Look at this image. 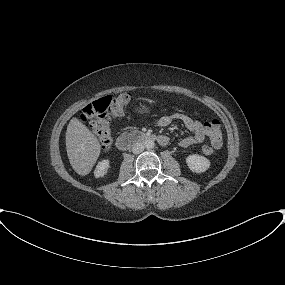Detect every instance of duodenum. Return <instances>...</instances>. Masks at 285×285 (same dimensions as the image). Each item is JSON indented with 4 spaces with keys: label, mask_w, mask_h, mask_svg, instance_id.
<instances>
[{
    "label": "duodenum",
    "mask_w": 285,
    "mask_h": 285,
    "mask_svg": "<svg viewBox=\"0 0 285 285\" xmlns=\"http://www.w3.org/2000/svg\"><path fill=\"white\" fill-rule=\"evenodd\" d=\"M158 141L161 145H165L167 140L163 136H156L154 134L142 133V132H129L120 135L116 140V146L119 150H126L136 144Z\"/></svg>",
    "instance_id": "410a0bca"
}]
</instances>
